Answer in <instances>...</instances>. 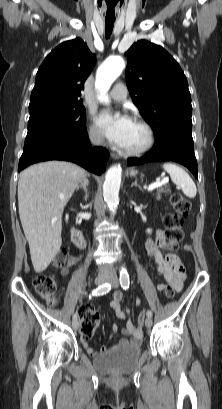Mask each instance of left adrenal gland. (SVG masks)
<instances>
[{"label": "left adrenal gland", "instance_id": "1", "mask_svg": "<svg viewBox=\"0 0 222 409\" xmlns=\"http://www.w3.org/2000/svg\"><path fill=\"white\" fill-rule=\"evenodd\" d=\"M131 186H137L140 190H142L141 186L137 183V180H135Z\"/></svg>", "mask_w": 222, "mask_h": 409}]
</instances>
